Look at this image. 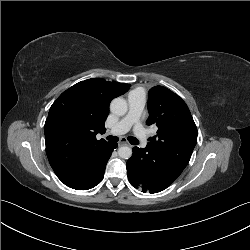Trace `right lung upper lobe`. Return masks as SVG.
I'll list each match as a JSON object with an SVG mask.
<instances>
[{
	"label": "right lung upper lobe",
	"instance_id": "obj_1",
	"mask_svg": "<svg viewBox=\"0 0 250 250\" xmlns=\"http://www.w3.org/2000/svg\"><path fill=\"white\" fill-rule=\"evenodd\" d=\"M130 85L104 79L81 81L52 104L45 122L46 153L57 177L68 187L78 189L94 176V165L102 148L97 140L104 133L112 99L126 93Z\"/></svg>",
	"mask_w": 250,
	"mask_h": 250
}]
</instances>
